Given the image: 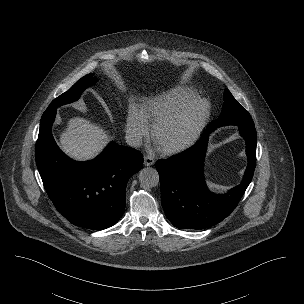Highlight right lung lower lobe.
Returning <instances> with one entry per match:
<instances>
[{"instance_id":"1","label":"right lung lower lobe","mask_w":304,"mask_h":304,"mask_svg":"<svg viewBox=\"0 0 304 304\" xmlns=\"http://www.w3.org/2000/svg\"><path fill=\"white\" fill-rule=\"evenodd\" d=\"M55 115L56 108L46 109L36 143V165L47 194L71 223L106 229L123 215L127 182L143 167V156L136 149L112 142L91 161H73L52 136Z\"/></svg>"}]
</instances>
